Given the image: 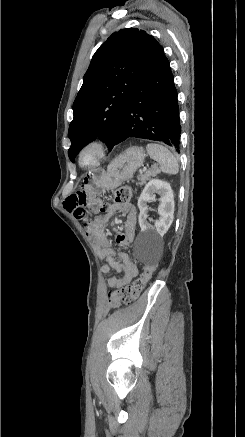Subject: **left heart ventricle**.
<instances>
[{
    "instance_id": "obj_1",
    "label": "left heart ventricle",
    "mask_w": 245,
    "mask_h": 437,
    "mask_svg": "<svg viewBox=\"0 0 245 437\" xmlns=\"http://www.w3.org/2000/svg\"><path fill=\"white\" fill-rule=\"evenodd\" d=\"M93 154L91 152H87L84 154L83 156V161L84 162H89L92 159Z\"/></svg>"
}]
</instances>
